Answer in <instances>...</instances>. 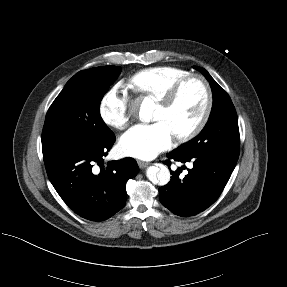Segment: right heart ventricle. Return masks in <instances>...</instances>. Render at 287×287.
Masks as SVG:
<instances>
[{
    "mask_svg": "<svg viewBox=\"0 0 287 287\" xmlns=\"http://www.w3.org/2000/svg\"><path fill=\"white\" fill-rule=\"evenodd\" d=\"M189 74L187 70L178 67L147 68L133 74L129 84L137 94L158 101L177 81Z\"/></svg>",
    "mask_w": 287,
    "mask_h": 287,
    "instance_id": "e07e8e85",
    "label": "right heart ventricle"
}]
</instances>
